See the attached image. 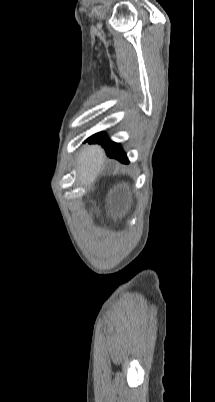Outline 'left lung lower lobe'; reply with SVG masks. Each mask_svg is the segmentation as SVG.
Wrapping results in <instances>:
<instances>
[{
	"label": "left lung lower lobe",
	"instance_id": "0a47b994",
	"mask_svg": "<svg viewBox=\"0 0 215 402\" xmlns=\"http://www.w3.org/2000/svg\"><path fill=\"white\" fill-rule=\"evenodd\" d=\"M86 141L89 143H98L103 146L106 151V154L110 158H115L123 163H128V158L126 157L125 152L122 150L120 144L111 141L104 132L97 133L91 137H89Z\"/></svg>",
	"mask_w": 215,
	"mask_h": 402
}]
</instances>
